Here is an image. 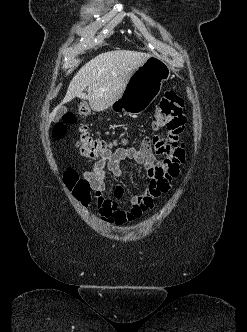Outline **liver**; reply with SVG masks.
Segmentation results:
<instances>
[{
    "label": "liver",
    "instance_id": "6515ba94",
    "mask_svg": "<svg viewBox=\"0 0 247 332\" xmlns=\"http://www.w3.org/2000/svg\"><path fill=\"white\" fill-rule=\"evenodd\" d=\"M151 55L115 50L101 53L87 62L71 80L65 98L49 115V124L63 104L75 97L86 99L94 111L108 109L123 93L133 72ZM88 87V94L83 91Z\"/></svg>",
    "mask_w": 247,
    "mask_h": 332
}]
</instances>
